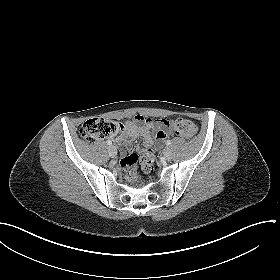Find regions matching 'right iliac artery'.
<instances>
[{
    "label": "right iliac artery",
    "instance_id": "obj_1",
    "mask_svg": "<svg viewBox=\"0 0 280 280\" xmlns=\"http://www.w3.org/2000/svg\"><path fill=\"white\" fill-rule=\"evenodd\" d=\"M106 143H107L108 145H112V142H111L110 140H108Z\"/></svg>",
    "mask_w": 280,
    "mask_h": 280
}]
</instances>
